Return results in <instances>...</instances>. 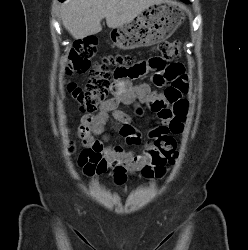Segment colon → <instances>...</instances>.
I'll list each match as a JSON object with an SVG mask.
<instances>
[{
    "label": "colon",
    "mask_w": 248,
    "mask_h": 250,
    "mask_svg": "<svg viewBox=\"0 0 248 250\" xmlns=\"http://www.w3.org/2000/svg\"><path fill=\"white\" fill-rule=\"evenodd\" d=\"M96 48L97 43L93 38L77 42L69 53L65 68L67 75L90 72L91 78L86 87H81L74 82H69L67 85L68 92L78 103L80 109L88 113L96 111L108 96L112 84L110 67L122 69L129 67L122 75L131 78L137 77L135 65H132L133 59L128 55H107L92 65ZM156 50L158 57L151 60L152 68L157 70L153 76V83L159 88L165 87L164 96L166 98L165 102L159 101L156 106L164 107L179 101L175 104V109L182 111L183 103L180 95L171 87L175 76L160 72V65L164 60H173L180 56V44L178 41H161L156 45ZM177 156L176 142L172 134L161 133L157 135L154 142L152 163L144 168V173L156 177L164 175L167 165L173 164ZM95 158L97 155L92 149H84L80 153V165H89Z\"/></svg>",
    "instance_id": "obj_1"
}]
</instances>
